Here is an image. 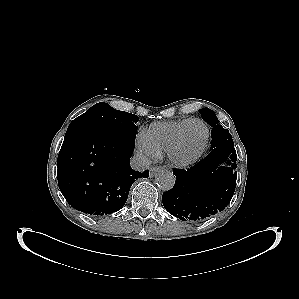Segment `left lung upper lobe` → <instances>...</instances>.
<instances>
[{"label":"left lung upper lobe","mask_w":299,"mask_h":299,"mask_svg":"<svg viewBox=\"0 0 299 299\" xmlns=\"http://www.w3.org/2000/svg\"><path fill=\"white\" fill-rule=\"evenodd\" d=\"M200 113L203 120L213 127L211 132V148L217 147L223 143H233L231 134L228 130L224 129L222 125H219V121L212 110H210L209 108H203L200 110Z\"/></svg>","instance_id":"1"}]
</instances>
